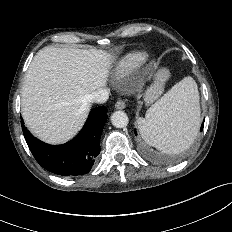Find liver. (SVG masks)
Wrapping results in <instances>:
<instances>
[{
    "instance_id": "obj_1",
    "label": "liver",
    "mask_w": 232,
    "mask_h": 232,
    "mask_svg": "<svg viewBox=\"0 0 232 232\" xmlns=\"http://www.w3.org/2000/svg\"><path fill=\"white\" fill-rule=\"evenodd\" d=\"M112 55L95 48L47 46L33 58L22 87V115L41 140L60 144L83 126L87 97L105 85Z\"/></svg>"
}]
</instances>
